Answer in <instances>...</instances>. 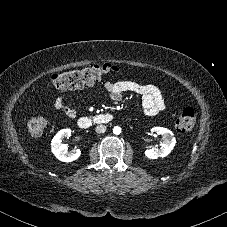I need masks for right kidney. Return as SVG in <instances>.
Here are the masks:
<instances>
[{"label": "right kidney", "mask_w": 227, "mask_h": 227, "mask_svg": "<svg viewBox=\"0 0 227 227\" xmlns=\"http://www.w3.org/2000/svg\"><path fill=\"white\" fill-rule=\"evenodd\" d=\"M71 136V129L60 130L51 141V150L56 158L62 162H72L78 159L81 155L80 149H74L72 151L67 150V146L63 144L64 138Z\"/></svg>", "instance_id": "right-kidney-1"}]
</instances>
